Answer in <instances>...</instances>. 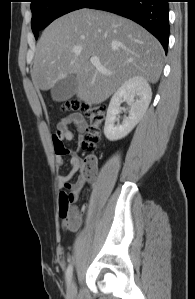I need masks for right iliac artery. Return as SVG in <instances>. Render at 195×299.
<instances>
[{"label":"right iliac artery","instance_id":"82829eb1","mask_svg":"<svg viewBox=\"0 0 195 299\" xmlns=\"http://www.w3.org/2000/svg\"><path fill=\"white\" fill-rule=\"evenodd\" d=\"M72 272H73V266H72V264H69V266L67 268V271H66V281H67V284H69L70 281H71Z\"/></svg>","mask_w":195,"mask_h":299}]
</instances>
